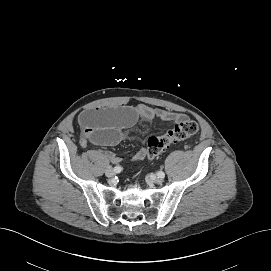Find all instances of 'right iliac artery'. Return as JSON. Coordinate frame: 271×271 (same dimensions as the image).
Returning a JSON list of instances; mask_svg holds the SVG:
<instances>
[{
	"instance_id": "1",
	"label": "right iliac artery",
	"mask_w": 271,
	"mask_h": 271,
	"mask_svg": "<svg viewBox=\"0 0 271 271\" xmlns=\"http://www.w3.org/2000/svg\"><path fill=\"white\" fill-rule=\"evenodd\" d=\"M113 170L115 173H120L123 170V168L121 166H116V167H114Z\"/></svg>"
}]
</instances>
